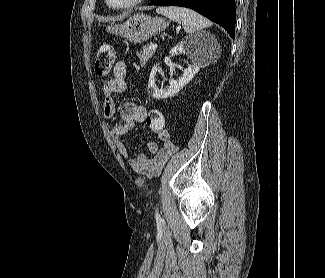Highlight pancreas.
Masks as SVG:
<instances>
[{
  "label": "pancreas",
  "instance_id": "obj_1",
  "mask_svg": "<svg viewBox=\"0 0 325 278\" xmlns=\"http://www.w3.org/2000/svg\"><path fill=\"white\" fill-rule=\"evenodd\" d=\"M156 49H151L150 46H145L140 52L137 53V56L140 60L141 65H145L146 62L153 56Z\"/></svg>",
  "mask_w": 325,
  "mask_h": 278
}]
</instances>
